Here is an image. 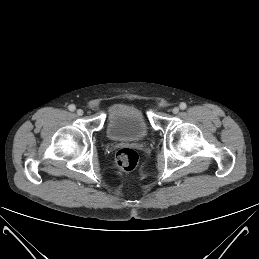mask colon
I'll list each match as a JSON object with an SVG mask.
<instances>
[{"instance_id": "1", "label": "colon", "mask_w": 259, "mask_h": 259, "mask_svg": "<svg viewBox=\"0 0 259 259\" xmlns=\"http://www.w3.org/2000/svg\"><path fill=\"white\" fill-rule=\"evenodd\" d=\"M116 163L122 171L131 173L137 166L138 154L131 148H122L116 154Z\"/></svg>"}]
</instances>
